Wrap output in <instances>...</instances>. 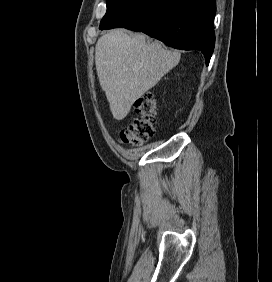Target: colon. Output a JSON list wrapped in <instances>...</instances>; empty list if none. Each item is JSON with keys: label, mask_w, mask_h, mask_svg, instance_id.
<instances>
[{"label": "colon", "mask_w": 272, "mask_h": 282, "mask_svg": "<svg viewBox=\"0 0 272 282\" xmlns=\"http://www.w3.org/2000/svg\"><path fill=\"white\" fill-rule=\"evenodd\" d=\"M136 117L125 127L119 140L132 146L143 145L154 133L157 120V103L154 95L137 99L133 106Z\"/></svg>", "instance_id": "colon-1"}]
</instances>
